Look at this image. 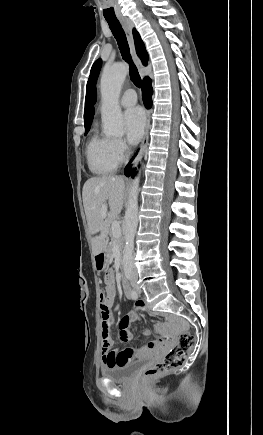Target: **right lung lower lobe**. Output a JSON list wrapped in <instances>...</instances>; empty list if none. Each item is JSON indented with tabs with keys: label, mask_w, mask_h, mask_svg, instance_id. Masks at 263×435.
Here are the masks:
<instances>
[{
	"label": "right lung lower lobe",
	"mask_w": 263,
	"mask_h": 435,
	"mask_svg": "<svg viewBox=\"0 0 263 435\" xmlns=\"http://www.w3.org/2000/svg\"><path fill=\"white\" fill-rule=\"evenodd\" d=\"M152 86H151V80L146 77L143 80V87H142V96L143 101L146 106V108H150L152 105ZM136 155V154H135ZM135 169L131 171V165L128 164V166L125 169V175L130 176L131 174H135ZM134 177V175H132Z\"/></svg>",
	"instance_id": "obj_1"
}]
</instances>
